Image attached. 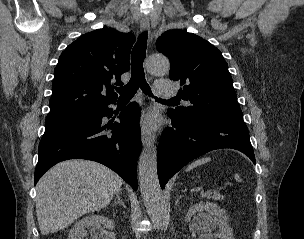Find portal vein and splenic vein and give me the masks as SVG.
Wrapping results in <instances>:
<instances>
[{
    "mask_svg": "<svg viewBox=\"0 0 304 239\" xmlns=\"http://www.w3.org/2000/svg\"><path fill=\"white\" fill-rule=\"evenodd\" d=\"M210 194H211V193H210L209 191H206V192L202 193L203 196H208V195H210Z\"/></svg>",
    "mask_w": 304,
    "mask_h": 239,
    "instance_id": "1",
    "label": "portal vein and splenic vein"
}]
</instances>
